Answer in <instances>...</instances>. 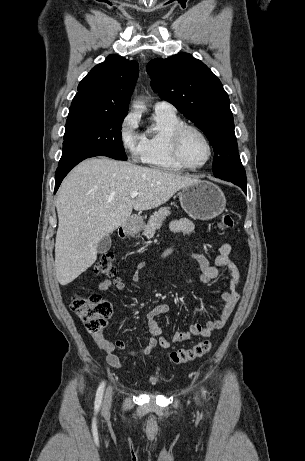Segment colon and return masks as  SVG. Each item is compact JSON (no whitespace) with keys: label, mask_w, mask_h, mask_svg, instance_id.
I'll return each instance as SVG.
<instances>
[{"label":"colon","mask_w":305,"mask_h":461,"mask_svg":"<svg viewBox=\"0 0 305 461\" xmlns=\"http://www.w3.org/2000/svg\"><path fill=\"white\" fill-rule=\"evenodd\" d=\"M219 226L223 230L233 229L234 218L229 214L223 215ZM93 272L101 277L116 276L117 267L113 255L103 254L94 265ZM70 306L91 334L101 333L105 328L106 319L112 314L111 304L96 293H91L89 296H74ZM211 346L210 340H203L191 348L172 351L169 356L173 363L181 364L204 356L210 351Z\"/></svg>","instance_id":"1"}]
</instances>
